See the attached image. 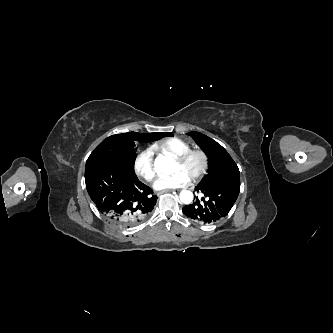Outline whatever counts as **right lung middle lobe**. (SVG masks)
<instances>
[{"instance_id": "dd1d6c3e", "label": "right lung middle lobe", "mask_w": 333, "mask_h": 333, "mask_svg": "<svg viewBox=\"0 0 333 333\" xmlns=\"http://www.w3.org/2000/svg\"><path fill=\"white\" fill-rule=\"evenodd\" d=\"M172 135V133H157L156 139L161 136ZM142 139L129 133L112 135L103 140L87 159L86 166L91 164H106L135 175L134 163L136 159L135 141Z\"/></svg>"}]
</instances>
